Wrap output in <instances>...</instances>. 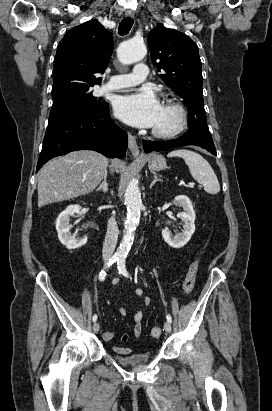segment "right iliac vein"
Segmentation results:
<instances>
[{"label": "right iliac vein", "mask_w": 272, "mask_h": 411, "mask_svg": "<svg viewBox=\"0 0 272 411\" xmlns=\"http://www.w3.org/2000/svg\"><path fill=\"white\" fill-rule=\"evenodd\" d=\"M99 330H100L99 323H94V325H93V331H94L95 333H98Z\"/></svg>", "instance_id": "right-iliac-vein-1"}]
</instances>
